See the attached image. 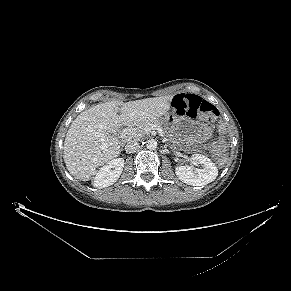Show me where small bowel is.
<instances>
[{
	"label": "small bowel",
	"instance_id": "small-bowel-1",
	"mask_svg": "<svg viewBox=\"0 0 291 291\" xmlns=\"http://www.w3.org/2000/svg\"><path fill=\"white\" fill-rule=\"evenodd\" d=\"M182 95L197 96V95H195V94H182Z\"/></svg>",
	"mask_w": 291,
	"mask_h": 291
}]
</instances>
